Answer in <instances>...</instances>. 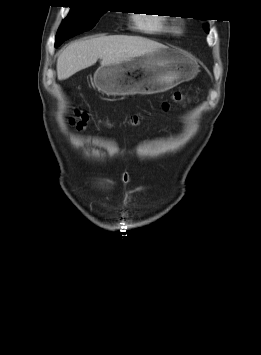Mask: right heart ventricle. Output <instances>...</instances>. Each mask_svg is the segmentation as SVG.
<instances>
[{
  "label": "right heart ventricle",
  "mask_w": 261,
  "mask_h": 355,
  "mask_svg": "<svg viewBox=\"0 0 261 355\" xmlns=\"http://www.w3.org/2000/svg\"><path fill=\"white\" fill-rule=\"evenodd\" d=\"M135 27L147 34H163L171 31V25L167 18L153 15H136Z\"/></svg>",
  "instance_id": "e07e8e85"
}]
</instances>
